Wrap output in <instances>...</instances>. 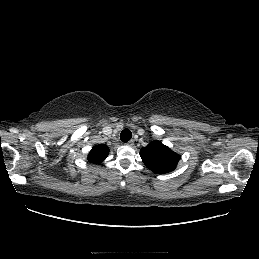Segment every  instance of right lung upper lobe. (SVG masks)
Instances as JSON below:
<instances>
[{
	"mask_svg": "<svg viewBox=\"0 0 259 259\" xmlns=\"http://www.w3.org/2000/svg\"><path fill=\"white\" fill-rule=\"evenodd\" d=\"M109 148L105 145H96L88 155V160L94 164L101 163L108 156Z\"/></svg>",
	"mask_w": 259,
	"mask_h": 259,
	"instance_id": "right-lung-upper-lobe-1",
	"label": "right lung upper lobe"
}]
</instances>
